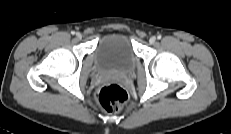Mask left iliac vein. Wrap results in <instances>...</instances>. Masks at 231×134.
<instances>
[{
    "mask_svg": "<svg viewBox=\"0 0 231 134\" xmlns=\"http://www.w3.org/2000/svg\"><path fill=\"white\" fill-rule=\"evenodd\" d=\"M155 41H156V37H154V36L150 37V39H149L150 44H154Z\"/></svg>",
    "mask_w": 231,
    "mask_h": 134,
    "instance_id": "4c4485c4",
    "label": "left iliac vein"
}]
</instances>
